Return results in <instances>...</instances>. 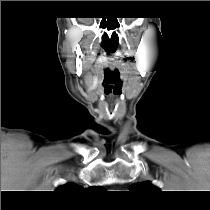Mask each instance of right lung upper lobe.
I'll use <instances>...</instances> for the list:
<instances>
[{
    "mask_svg": "<svg viewBox=\"0 0 210 210\" xmlns=\"http://www.w3.org/2000/svg\"><path fill=\"white\" fill-rule=\"evenodd\" d=\"M80 187L74 183H67L57 188L59 192H70L72 190H78Z\"/></svg>",
    "mask_w": 210,
    "mask_h": 210,
    "instance_id": "right-lung-upper-lobe-1",
    "label": "right lung upper lobe"
}]
</instances>
